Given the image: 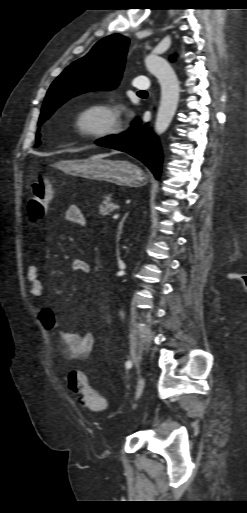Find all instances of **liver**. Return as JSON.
<instances>
[{
  "label": "liver",
  "instance_id": "obj_1",
  "mask_svg": "<svg viewBox=\"0 0 247 513\" xmlns=\"http://www.w3.org/2000/svg\"><path fill=\"white\" fill-rule=\"evenodd\" d=\"M115 152H112L111 154H114ZM108 156V154H98V155H95L93 156L92 158H103V157H106Z\"/></svg>",
  "mask_w": 247,
  "mask_h": 513
}]
</instances>
